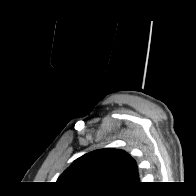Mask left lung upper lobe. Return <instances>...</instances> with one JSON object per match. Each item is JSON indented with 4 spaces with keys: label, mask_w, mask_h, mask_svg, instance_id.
<instances>
[{
    "label": "left lung upper lobe",
    "mask_w": 196,
    "mask_h": 196,
    "mask_svg": "<svg viewBox=\"0 0 196 196\" xmlns=\"http://www.w3.org/2000/svg\"><path fill=\"white\" fill-rule=\"evenodd\" d=\"M135 160L120 149L104 148L73 162L58 178L61 186L84 193L120 192L138 183Z\"/></svg>",
    "instance_id": "5c2ea615"
}]
</instances>
